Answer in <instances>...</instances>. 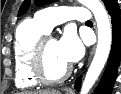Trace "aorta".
<instances>
[{"mask_svg": "<svg viewBox=\"0 0 121 94\" xmlns=\"http://www.w3.org/2000/svg\"><path fill=\"white\" fill-rule=\"evenodd\" d=\"M79 2L91 10L98 29L96 53L80 91V94H88L108 59L112 42V30L107 11L100 0H79Z\"/></svg>", "mask_w": 121, "mask_h": 94, "instance_id": "762f6f07", "label": "aorta"}]
</instances>
